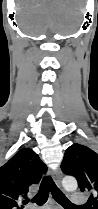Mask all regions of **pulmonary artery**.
Segmentation results:
<instances>
[{"label":"pulmonary artery","instance_id":"e3ab8cb5","mask_svg":"<svg viewBox=\"0 0 98 209\" xmlns=\"http://www.w3.org/2000/svg\"><path fill=\"white\" fill-rule=\"evenodd\" d=\"M71 203L76 207L77 205H83L86 203V198L80 194L79 192H75L71 194ZM48 209L47 207H44ZM33 209V208H30Z\"/></svg>","mask_w":98,"mask_h":209}]
</instances>
